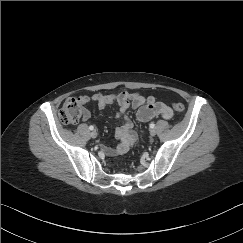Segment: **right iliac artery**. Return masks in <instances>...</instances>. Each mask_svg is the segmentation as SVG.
Returning a JSON list of instances; mask_svg holds the SVG:
<instances>
[{"mask_svg":"<svg viewBox=\"0 0 243 243\" xmlns=\"http://www.w3.org/2000/svg\"><path fill=\"white\" fill-rule=\"evenodd\" d=\"M89 129L90 130H94V127L91 125V126H89Z\"/></svg>","mask_w":243,"mask_h":243,"instance_id":"right-iliac-artery-1","label":"right iliac artery"}]
</instances>
